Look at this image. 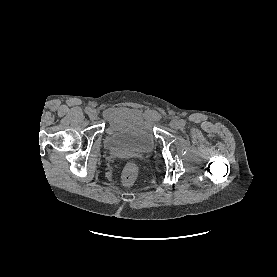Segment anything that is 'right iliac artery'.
I'll return each mask as SVG.
<instances>
[{"instance_id":"right-iliac-artery-1","label":"right iliac artery","mask_w":277,"mask_h":277,"mask_svg":"<svg viewBox=\"0 0 277 277\" xmlns=\"http://www.w3.org/2000/svg\"><path fill=\"white\" fill-rule=\"evenodd\" d=\"M91 111H92V110H91V108H89V107H87V108L85 109V112H86L87 114H90Z\"/></svg>"}]
</instances>
